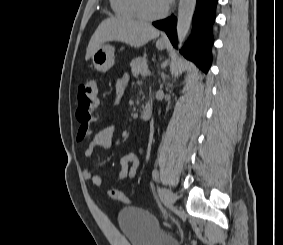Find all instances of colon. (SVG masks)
Returning <instances> with one entry per match:
<instances>
[{"label": "colon", "instance_id": "colon-1", "mask_svg": "<svg viewBox=\"0 0 283 245\" xmlns=\"http://www.w3.org/2000/svg\"><path fill=\"white\" fill-rule=\"evenodd\" d=\"M97 90V81L94 77H90L79 87L78 107L76 111L77 120L80 123L77 139L82 141L88 138L92 132V124L94 121L95 97ZM109 196L114 201L128 204V197L117 189H111Z\"/></svg>", "mask_w": 283, "mask_h": 245}]
</instances>
